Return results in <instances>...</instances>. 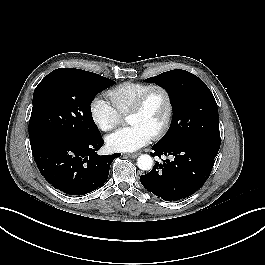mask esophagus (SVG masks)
I'll return each instance as SVG.
<instances>
[{
    "instance_id": "34e87169",
    "label": "esophagus",
    "mask_w": 265,
    "mask_h": 265,
    "mask_svg": "<svg viewBox=\"0 0 265 265\" xmlns=\"http://www.w3.org/2000/svg\"><path fill=\"white\" fill-rule=\"evenodd\" d=\"M139 155V153H127L125 156L130 157V158H136Z\"/></svg>"
}]
</instances>
